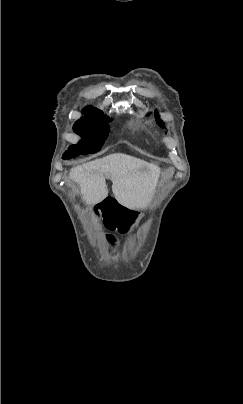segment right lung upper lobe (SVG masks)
Segmentation results:
<instances>
[{
	"label": "right lung upper lobe",
	"instance_id": "1",
	"mask_svg": "<svg viewBox=\"0 0 243 404\" xmlns=\"http://www.w3.org/2000/svg\"><path fill=\"white\" fill-rule=\"evenodd\" d=\"M103 114L101 110H98L97 108H94L92 106L87 107L84 109V115L83 117H90V116H97Z\"/></svg>",
	"mask_w": 243,
	"mask_h": 404
}]
</instances>
